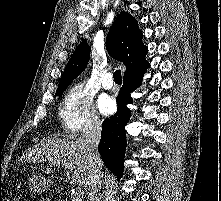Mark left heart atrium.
<instances>
[{
	"mask_svg": "<svg viewBox=\"0 0 221 201\" xmlns=\"http://www.w3.org/2000/svg\"><path fill=\"white\" fill-rule=\"evenodd\" d=\"M115 107V101L110 96L104 94L99 97L98 108L102 114H111L115 110Z\"/></svg>",
	"mask_w": 221,
	"mask_h": 201,
	"instance_id": "left-heart-atrium-1",
	"label": "left heart atrium"
}]
</instances>
